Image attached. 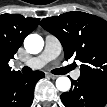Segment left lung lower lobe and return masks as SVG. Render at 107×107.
Here are the masks:
<instances>
[{"label":"left lung lower lobe","mask_w":107,"mask_h":107,"mask_svg":"<svg viewBox=\"0 0 107 107\" xmlns=\"http://www.w3.org/2000/svg\"><path fill=\"white\" fill-rule=\"evenodd\" d=\"M69 92L61 95L66 107H104L107 105V85L78 78Z\"/></svg>","instance_id":"obj_1"}]
</instances>
